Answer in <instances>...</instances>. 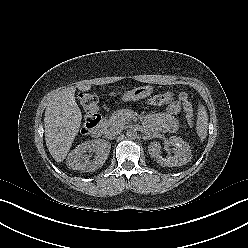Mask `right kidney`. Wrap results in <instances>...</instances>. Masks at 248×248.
Segmentation results:
<instances>
[{
    "mask_svg": "<svg viewBox=\"0 0 248 248\" xmlns=\"http://www.w3.org/2000/svg\"><path fill=\"white\" fill-rule=\"evenodd\" d=\"M110 148L111 144L102 139L86 141L69 153L66 164L69 169L93 172L105 163ZM87 152L89 154H86ZM90 153L95 154L93 160H91L92 155Z\"/></svg>",
    "mask_w": 248,
    "mask_h": 248,
    "instance_id": "right-kidney-1",
    "label": "right kidney"
}]
</instances>
